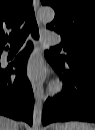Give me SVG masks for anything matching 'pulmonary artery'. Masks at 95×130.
I'll return each mask as SVG.
<instances>
[{
  "instance_id": "obj_1",
  "label": "pulmonary artery",
  "mask_w": 95,
  "mask_h": 130,
  "mask_svg": "<svg viewBox=\"0 0 95 130\" xmlns=\"http://www.w3.org/2000/svg\"><path fill=\"white\" fill-rule=\"evenodd\" d=\"M42 40L46 42H51V43H59L60 38L57 36L56 33L52 31H43L42 32Z\"/></svg>"
}]
</instances>
